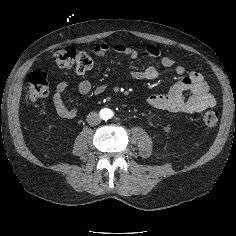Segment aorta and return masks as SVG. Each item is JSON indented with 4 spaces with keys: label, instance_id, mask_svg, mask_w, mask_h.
<instances>
[{
    "label": "aorta",
    "instance_id": "aorta-1",
    "mask_svg": "<svg viewBox=\"0 0 236 236\" xmlns=\"http://www.w3.org/2000/svg\"><path fill=\"white\" fill-rule=\"evenodd\" d=\"M110 113H111L110 109H107V108H105V109H103V110L101 111V115H102V117H103L104 119L109 118V117H110Z\"/></svg>",
    "mask_w": 236,
    "mask_h": 236
}]
</instances>
